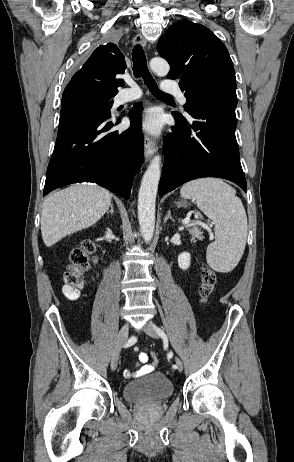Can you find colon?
<instances>
[{
    "mask_svg": "<svg viewBox=\"0 0 294 462\" xmlns=\"http://www.w3.org/2000/svg\"><path fill=\"white\" fill-rule=\"evenodd\" d=\"M95 252L96 245L91 240H85L79 248L71 252L63 285V294L68 299L74 300L79 296V292L84 286V275L94 262ZM201 280L200 294L202 301L205 302L216 286L215 273L211 269L203 267ZM150 357L152 364L157 365L159 361L157 355L152 353Z\"/></svg>",
    "mask_w": 294,
    "mask_h": 462,
    "instance_id": "5ec220e1",
    "label": "colon"
}]
</instances>
